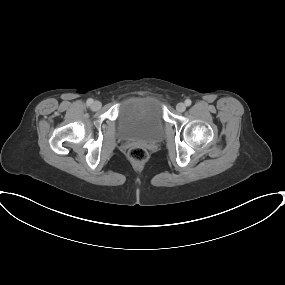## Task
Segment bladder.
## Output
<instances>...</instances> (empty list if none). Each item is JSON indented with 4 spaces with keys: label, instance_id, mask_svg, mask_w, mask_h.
I'll use <instances>...</instances> for the list:
<instances>
[{
    "label": "bladder",
    "instance_id": "obj_1",
    "mask_svg": "<svg viewBox=\"0 0 285 285\" xmlns=\"http://www.w3.org/2000/svg\"><path fill=\"white\" fill-rule=\"evenodd\" d=\"M117 127L119 137L124 141L160 142L164 137L160 102L153 97L128 100L118 113Z\"/></svg>",
    "mask_w": 285,
    "mask_h": 285
}]
</instances>
